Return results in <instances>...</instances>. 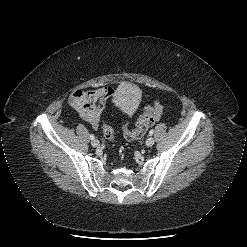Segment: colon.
Here are the masks:
<instances>
[{
  "label": "colon",
  "mask_w": 247,
  "mask_h": 247,
  "mask_svg": "<svg viewBox=\"0 0 247 247\" xmlns=\"http://www.w3.org/2000/svg\"><path fill=\"white\" fill-rule=\"evenodd\" d=\"M161 111V104L155 100L152 104L145 107L144 112L141 114L136 122L134 129H130L127 125L122 126V132L127 140H136L143 137L147 129L152 126L159 117ZM103 133L106 139L112 141L114 138V131L108 124L103 125Z\"/></svg>",
  "instance_id": "colon-1"
}]
</instances>
